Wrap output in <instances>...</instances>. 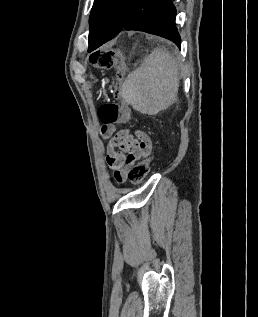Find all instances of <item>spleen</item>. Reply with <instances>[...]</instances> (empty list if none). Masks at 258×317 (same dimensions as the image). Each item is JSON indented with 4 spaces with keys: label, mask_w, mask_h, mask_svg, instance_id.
<instances>
[{
    "label": "spleen",
    "mask_w": 258,
    "mask_h": 317,
    "mask_svg": "<svg viewBox=\"0 0 258 317\" xmlns=\"http://www.w3.org/2000/svg\"><path fill=\"white\" fill-rule=\"evenodd\" d=\"M178 64L170 52L155 48L143 64L126 76L121 94L142 114H157L177 100Z\"/></svg>",
    "instance_id": "spleen-1"
}]
</instances>
